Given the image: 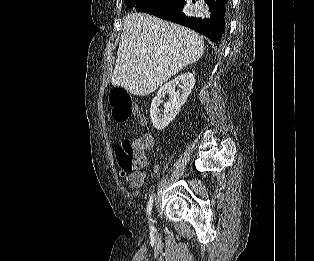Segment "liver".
Instances as JSON below:
<instances>
[{"instance_id":"liver-1","label":"liver","mask_w":314,"mask_h":261,"mask_svg":"<svg viewBox=\"0 0 314 261\" xmlns=\"http://www.w3.org/2000/svg\"><path fill=\"white\" fill-rule=\"evenodd\" d=\"M203 52V38L194 31L132 11L124 17L111 81L131 94L147 96Z\"/></svg>"}]
</instances>
